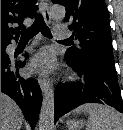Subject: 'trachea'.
<instances>
[{"label":"trachea","mask_w":123,"mask_h":130,"mask_svg":"<svg viewBox=\"0 0 123 130\" xmlns=\"http://www.w3.org/2000/svg\"><path fill=\"white\" fill-rule=\"evenodd\" d=\"M41 32L45 37L52 38V34L50 29L44 22L43 16L39 14L34 24L27 30L22 31L21 39L22 41H29L32 37H34L37 33ZM68 41V40H64Z\"/></svg>","instance_id":"3493384b"}]
</instances>
